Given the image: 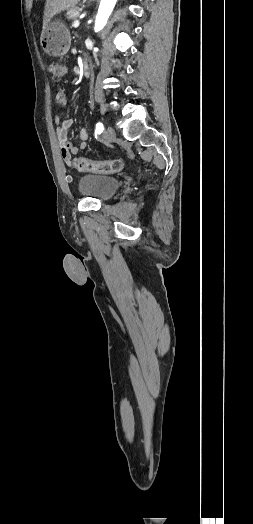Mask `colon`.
<instances>
[{"instance_id":"colon-1","label":"colon","mask_w":253,"mask_h":524,"mask_svg":"<svg viewBox=\"0 0 253 524\" xmlns=\"http://www.w3.org/2000/svg\"><path fill=\"white\" fill-rule=\"evenodd\" d=\"M49 71L53 81H60L67 72L66 66L60 62L53 61L49 64ZM75 166L80 171L96 172L101 174H111L120 172L124 163L121 159H111L107 161H93L85 158L75 160Z\"/></svg>"}]
</instances>
